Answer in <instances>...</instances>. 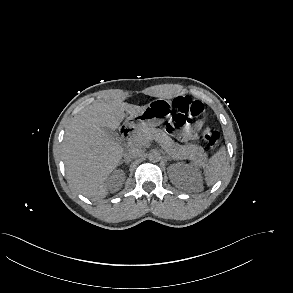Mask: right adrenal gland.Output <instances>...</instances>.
I'll use <instances>...</instances> for the list:
<instances>
[{"instance_id":"right-adrenal-gland-1","label":"right adrenal gland","mask_w":293,"mask_h":293,"mask_svg":"<svg viewBox=\"0 0 293 293\" xmlns=\"http://www.w3.org/2000/svg\"><path fill=\"white\" fill-rule=\"evenodd\" d=\"M123 163H125L126 165H128V164L130 163V161H129V160H122V161L120 162V165H122Z\"/></svg>"}]
</instances>
